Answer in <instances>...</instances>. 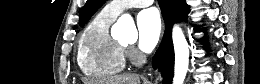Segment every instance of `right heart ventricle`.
<instances>
[{
	"label": "right heart ventricle",
	"mask_w": 260,
	"mask_h": 84,
	"mask_svg": "<svg viewBox=\"0 0 260 84\" xmlns=\"http://www.w3.org/2000/svg\"><path fill=\"white\" fill-rule=\"evenodd\" d=\"M116 17L103 9L81 36L77 61L82 73L89 78H109L125 67V50L110 35V26Z\"/></svg>",
	"instance_id": "obj_1"
}]
</instances>
